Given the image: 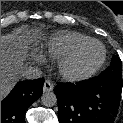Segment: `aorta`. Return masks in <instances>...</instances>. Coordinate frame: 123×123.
Instances as JSON below:
<instances>
[{"mask_svg": "<svg viewBox=\"0 0 123 123\" xmlns=\"http://www.w3.org/2000/svg\"><path fill=\"white\" fill-rule=\"evenodd\" d=\"M41 101H42V104L44 106L52 107V106L56 105L57 98H56V95L53 92L45 91V92H43V94L41 96Z\"/></svg>", "mask_w": 123, "mask_h": 123, "instance_id": "obj_1", "label": "aorta"}]
</instances>
